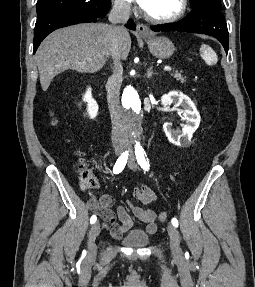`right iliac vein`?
Returning <instances> with one entry per match:
<instances>
[{
	"mask_svg": "<svg viewBox=\"0 0 255 287\" xmlns=\"http://www.w3.org/2000/svg\"><path fill=\"white\" fill-rule=\"evenodd\" d=\"M123 152V148L118 147L115 149L116 155H120ZM100 233V224L97 222L93 224V226L90 229L89 232V238H88V259L93 260L96 256V245H95V240L97 236Z\"/></svg>",
	"mask_w": 255,
	"mask_h": 287,
	"instance_id": "right-iliac-vein-1",
	"label": "right iliac vein"
}]
</instances>
